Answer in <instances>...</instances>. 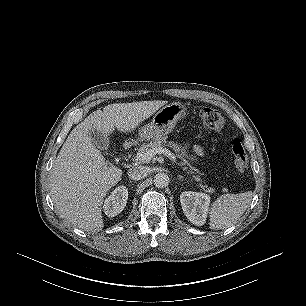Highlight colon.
I'll return each instance as SVG.
<instances>
[{"instance_id": "obj_1", "label": "colon", "mask_w": 306, "mask_h": 306, "mask_svg": "<svg viewBox=\"0 0 306 306\" xmlns=\"http://www.w3.org/2000/svg\"><path fill=\"white\" fill-rule=\"evenodd\" d=\"M198 115L203 125L211 130H221L225 124L223 114L212 107L202 106L198 108ZM231 151L234 157L236 173L242 176L248 167V155L240 139H234L231 143Z\"/></svg>"}]
</instances>
